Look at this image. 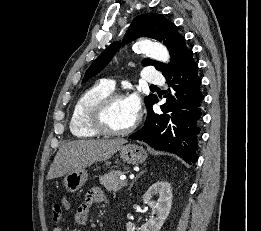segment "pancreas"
I'll use <instances>...</instances> for the list:
<instances>
[{
  "instance_id": "obj_1",
  "label": "pancreas",
  "mask_w": 261,
  "mask_h": 231,
  "mask_svg": "<svg viewBox=\"0 0 261 231\" xmlns=\"http://www.w3.org/2000/svg\"><path fill=\"white\" fill-rule=\"evenodd\" d=\"M122 174L123 173L121 171L113 170L103 176H100L99 181L107 191L115 194L124 186L123 181L119 179Z\"/></svg>"
}]
</instances>
